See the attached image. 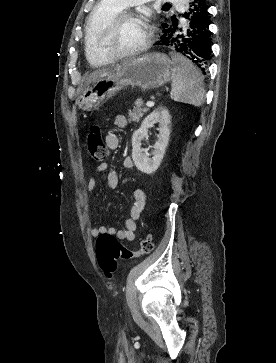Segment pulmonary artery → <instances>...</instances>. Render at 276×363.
<instances>
[{
  "instance_id": "obj_1",
  "label": "pulmonary artery",
  "mask_w": 276,
  "mask_h": 363,
  "mask_svg": "<svg viewBox=\"0 0 276 363\" xmlns=\"http://www.w3.org/2000/svg\"><path fill=\"white\" fill-rule=\"evenodd\" d=\"M112 2H114L118 7H120L121 9L132 6V5H136V4H141L144 3L148 0H110ZM158 1H162V2H168V1H173V0H158ZM178 3L182 4L184 3L185 0H177Z\"/></svg>"
}]
</instances>
